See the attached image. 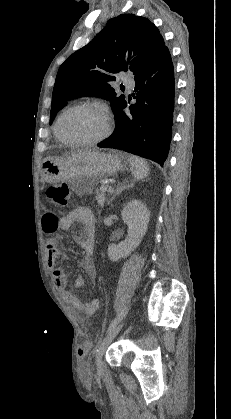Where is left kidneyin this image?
<instances>
[{"mask_svg":"<svg viewBox=\"0 0 231 419\" xmlns=\"http://www.w3.org/2000/svg\"><path fill=\"white\" fill-rule=\"evenodd\" d=\"M124 223L128 226V236L118 245L109 244L108 257L111 261H118L127 257L131 251L139 246L146 234L150 220V211L139 200L130 201L121 212Z\"/></svg>","mask_w":231,"mask_h":419,"instance_id":"5707ae66","label":"left kidney"}]
</instances>
